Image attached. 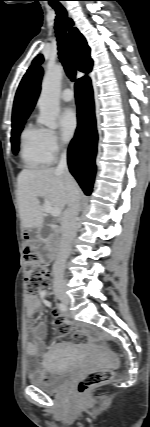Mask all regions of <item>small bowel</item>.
I'll list each match as a JSON object with an SVG mask.
<instances>
[{
    "mask_svg": "<svg viewBox=\"0 0 150 427\" xmlns=\"http://www.w3.org/2000/svg\"><path fill=\"white\" fill-rule=\"evenodd\" d=\"M43 294L39 296H31L27 299V314L30 321L34 318V313L37 309L41 308L43 305H47ZM52 317L58 324L59 332L62 335H66L72 332H76V327L67 319H65L61 312L57 309L52 311ZM30 331L32 335V340H29L26 345L27 354L33 357H36L40 352L45 348L44 340L47 336V326L45 323L41 322L36 325L31 324ZM46 365L49 364V358L45 357ZM29 376L33 379H42L45 374L40 371L35 366H29Z\"/></svg>",
    "mask_w": 150,
    "mask_h": 427,
    "instance_id": "1",
    "label": "small bowel"
}]
</instances>
